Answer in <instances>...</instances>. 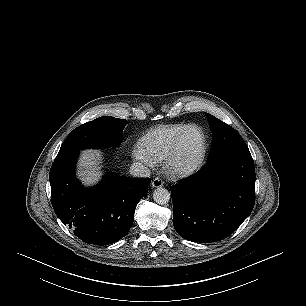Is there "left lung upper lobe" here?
I'll list each match as a JSON object with an SVG mask.
<instances>
[{
  "mask_svg": "<svg viewBox=\"0 0 306 306\" xmlns=\"http://www.w3.org/2000/svg\"><path fill=\"white\" fill-rule=\"evenodd\" d=\"M212 131V148L209 158L241 150H249L240 134L223 121L211 114L205 113Z\"/></svg>",
  "mask_w": 306,
  "mask_h": 306,
  "instance_id": "1",
  "label": "left lung upper lobe"
}]
</instances>
